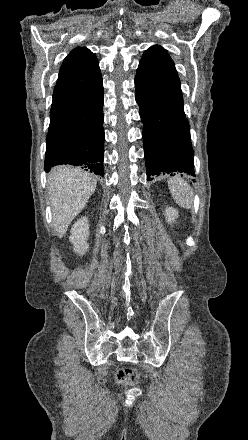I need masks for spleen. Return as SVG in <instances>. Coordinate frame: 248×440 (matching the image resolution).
<instances>
[{
    "label": "spleen",
    "instance_id": "obj_1",
    "mask_svg": "<svg viewBox=\"0 0 248 440\" xmlns=\"http://www.w3.org/2000/svg\"><path fill=\"white\" fill-rule=\"evenodd\" d=\"M168 187L174 201L181 207L191 209L194 194L189 184L180 177L168 180Z\"/></svg>",
    "mask_w": 248,
    "mask_h": 440
}]
</instances>
